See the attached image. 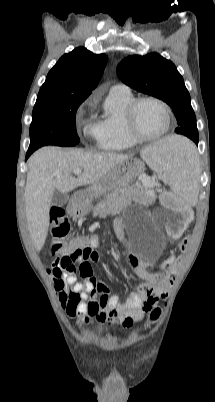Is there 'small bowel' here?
<instances>
[{"mask_svg":"<svg viewBox=\"0 0 215 402\" xmlns=\"http://www.w3.org/2000/svg\"><path fill=\"white\" fill-rule=\"evenodd\" d=\"M116 237L126 242L121 222L114 225ZM100 244L99 237L87 240L86 249L80 250L83 258L77 262V271L56 269L55 260L48 269L54 280L55 288L59 292L62 306L70 317H78L84 324L94 319L99 322L112 321L130 327L143 314L152 309L160 298L167 295L174 279L173 272L165 271L162 274H151L145 268L132 266L142 283L136 290L121 302L116 295H110L106 285L96 279L91 263L97 262L100 253L97 250ZM80 265H87V271H79ZM77 273L81 280H78Z\"/></svg>","mask_w":215,"mask_h":402,"instance_id":"small-bowel-1","label":"small bowel"}]
</instances>
